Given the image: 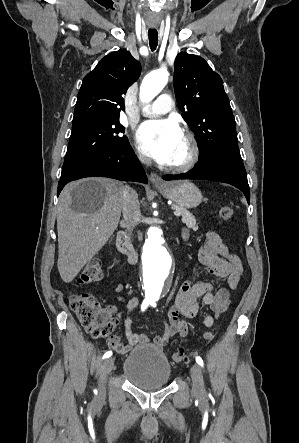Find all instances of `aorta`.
<instances>
[{
	"instance_id": "obj_1",
	"label": "aorta",
	"mask_w": 299,
	"mask_h": 443,
	"mask_svg": "<svg viewBox=\"0 0 299 443\" xmlns=\"http://www.w3.org/2000/svg\"><path fill=\"white\" fill-rule=\"evenodd\" d=\"M168 77L169 73L164 69L149 73L140 86V100L143 103L153 100L167 84ZM172 264L173 258L163 230L159 226H150L146 231L142 254L143 283L147 300H158L166 293Z\"/></svg>"
}]
</instances>
